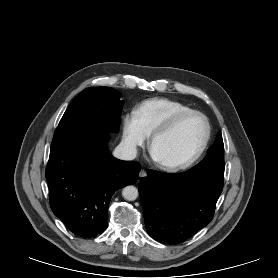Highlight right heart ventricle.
<instances>
[{
    "label": "right heart ventricle",
    "instance_id": "obj_1",
    "mask_svg": "<svg viewBox=\"0 0 278 278\" xmlns=\"http://www.w3.org/2000/svg\"><path fill=\"white\" fill-rule=\"evenodd\" d=\"M190 109L188 105L173 99L151 98L141 102L135 112L150 135L174 115Z\"/></svg>",
    "mask_w": 278,
    "mask_h": 278
}]
</instances>
